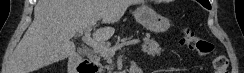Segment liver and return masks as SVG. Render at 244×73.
<instances>
[{
	"instance_id": "obj_1",
	"label": "liver",
	"mask_w": 244,
	"mask_h": 73,
	"mask_svg": "<svg viewBox=\"0 0 244 73\" xmlns=\"http://www.w3.org/2000/svg\"><path fill=\"white\" fill-rule=\"evenodd\" d=\"M138 0H38L34 20L15 48L8 73H32L75 54L70 39L76 34L102 23L118 22L127 8ZM113 27H102L93 38L106 41Z\"/></svg>"
}]
</instances>
